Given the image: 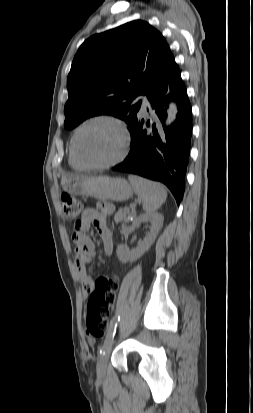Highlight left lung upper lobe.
<instances>
[{
    "instance_id": "1",
    "label": "left lung upper lobe",
    "mask_w": 253,
    "mask_h": 413,
    "mask_svg": "<svg viewBox=\"0 0 253 413\" xmlns=\"http://www.w3.org/2000/svg\"><path fill=\"white\" fill-rule=\"evenodd\" d=\"M172 58L162 34L145 21L91 36L78 49L68 75L65 128L101 114L131 127L140 115L141 100L135 103V98L148 92Z\"/></svg>"
}]
</instances>
